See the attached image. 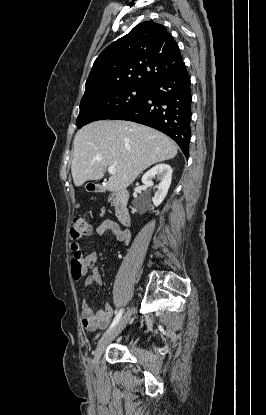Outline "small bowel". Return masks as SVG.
<instances>
[{"label": "small bowel", "mask_w": 266, "mask_h": 415, "mask_svg": "<svg viewBox=\"0 0 266 415\" xmlns=\"http://www.w3.org/2000/svg\"><path fill=\"white\" fill-rule=\"evenodd\" d=\"M98 235H104L109 233L113 235L119 242L128 244L131 240V234L127 230H122L113 221L106 220L100 223L96 229ZM71 251L73 256L79 257L82 264V274L89 271L85 279V286L93 284L101 285L102 277L100 275L99 268L97 266L98 255L96 253H90L82 257L80 245L77 242H72ZM113 308L109 303H106L103 308L93 312L89 304L85 299L81 301V317L83 325L89 330H96L98 328L105 327L113 316Z\"/></svg>", "instance_id": "c3829d8e"}]
</instances>
